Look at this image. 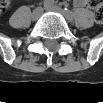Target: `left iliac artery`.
Here are the masks:
<instances>
[{
	"label": "left iliac artery",
	"mask_w": 103,
	"mask_h": 103,
	"mask_svg": "<svg viewBox=\"0 0 103 103\" xmlns=\"http://www.w3.org/2000/svg\"><path fill=\"white\" fill-rule=\"evenodd\" d=\"M64 12L69 19H73V13L68 8H64Z\"/></svg>",
	"instance_id": "left-iliac-artery-1"
}]
</instances>
